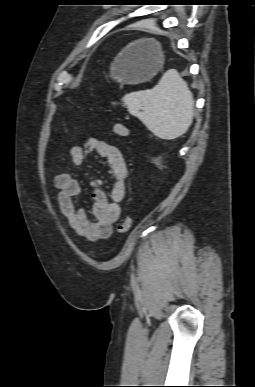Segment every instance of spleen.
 <instances>
[{
	"label": "spleen",
	"instance_id": "obj_1",
	"mask_svg": "<svg viewBox=\"0 0 255 387\" xmlns=\"http://www.w3.org/2000/svg\"><path fill=\"white\" fill-rule=\"evenodd\" d=\"M122 102L131 115L161 139L183 135L193 122V94L174 69L166 71L152 89L128 93Z\"/></svg>",
	"mask_w": 255,
	"mask_h": 387
}]
</instances>
